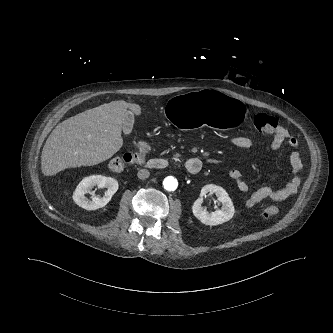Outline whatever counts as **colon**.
Returning <instances> with one entry per match:
<instances>
[{
	"label": "colon",
	"instance_id": "5ec220e1",
	"mask_svg": "<svg viewBox=\"0 0 333 333\" xmlns=\"http://www.w3.org/2000/svg\"><path fill=\"white\" fill-rule=\"evenodd\" d=\"M277 126V120L268 114L260 113L254 118V127L261 133L273 134ZM145 155V152L137 151L116 156L109 161V169L112 171H121L128 165L140 164L144 161ZM278 212V206L269 205L262 210V215L265 218H269L277 215Z\"/></svg>",
	"mask_w": 333,
	"mask_h": 333
}]
</instances>
